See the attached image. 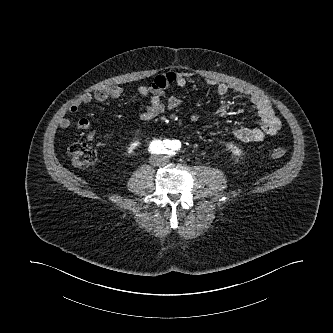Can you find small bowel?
I'll return each mask as SVG.
<instances>
[{
  "instance_id": "obj_1",
  "label": "small bowel",
  "mask_w": 333,
  "mask_h": 333,
  "mask_svg": "<svg viewBox=\"0 0 333 333\" xmlns=\"http://www.w3.org/2000/svg\"><path fill=\"white\" fill-rule=\"evenodd\" d=\"M207 85L214 87L219 95H225L230 90L242 94L250 100L255 107L260 125L258 127H239L233 135L241 142H259L266 136L276 135L282 123L275 114L270 102L259 92L249 90L243 86H230L223 82H217L213 79L206 80ZM187 84V74L183 72H166L157 75L148 85H140L137 88V93L141 97L149 99L148 105L140 114L142 121H150L153 118L162 114L165 110L176 109L180 105V100L173 95L166 96L165 90L171 86L182 88ZM125 89L120 86L106 87L96 90L94 93H86L74 101L68 108L71 114L77 113L82 105H87L93 102H105L109 99H116L123 96ZM59 126L66 129L70 126V120L63 116L59 120ZM76 127L80 130H86L90 127V121L87 118H80ZM93 133H89L91 138Z\"/></svg>"
}]
</instances>
